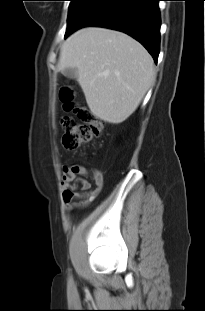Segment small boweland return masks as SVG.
<instances>
[{
  "label": "small bowel",
  "mask_w": 205,
  "mask_h": 311,
  "mask_svg": "<svg viewBox=\"0 0 205 311\" xmlns=\"http://www.w3.org/2000/svg\"><path fill=\"white\" fill-rule=\"evenodd\" d=\"M63 198L69 209L82 208L91 203L104 184L101 171L82 164H73L62 168ZM90 178L95 188L91 189Z\"/></svg>",
  "instance_id": "c3829d8e"
}]
</instances>
